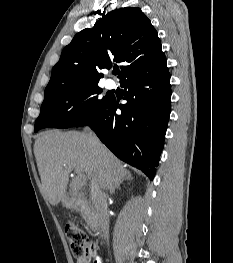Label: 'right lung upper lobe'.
<instances>
[{
    "instance_id": "right-lung-upper-lobe-1",
    "label": "right lung upper lobe",
    "mask_w": 233,
    "mask_h": 263,
    "mask_svg": "<svg viewBox=\"0 0 233 263\" xmlns=\"http://www.w3.org/2000/svg\"><path fill=\"white\" fill-rule=\"evenodd\" d=\"M124 62L120 82L166 65L157 31L140 8L113 10L77 33L54 66L44 97L98 84V70Z\"/></svg>"
}]
</instances>
